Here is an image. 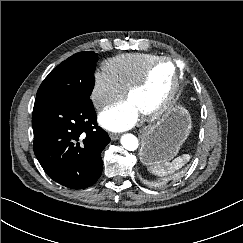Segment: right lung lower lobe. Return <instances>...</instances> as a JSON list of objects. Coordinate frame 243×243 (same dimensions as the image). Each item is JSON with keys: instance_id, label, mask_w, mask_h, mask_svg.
Wrapping results in <instances>:
<instances>
[{"instance_id": "98d812e1", "label": "right lung lower lobe", "mask_w": 243, "mask_h": 243, "mask_svg": "<svg viewBox=\"0 0 243 243\" xmlns=\"http://www.w3.org/2000/svg\"><path fill=\"white\" fill-rule=\"evenodd\" d=\"M32 127L34 153L52 180L72 189L87 188L98 180L101 152L110 138L97 126L91 101L70 104L36 98Z\"/></svg>"}]
</instances>
